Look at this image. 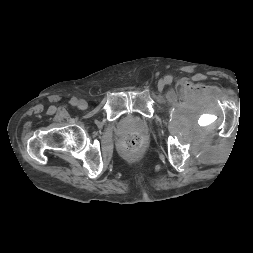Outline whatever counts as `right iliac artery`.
<instances>
[{
    "label": "right iliac artery",
    "mask_w": 253,
    "mask_h": 253,
    "mask_svg": "<svg viewBox=\"0 0 253 253\" xmlns=\"http://www.w3.org/2000/svg\"><path fill=\"white\" fill-rule=\"evenodd\" d=\"M70 104L73 105V106H76L78 104V100L73 97L71 100H70Z\"/></svg>",
    "instance_id": "right-iliac-artery-1"
}]
</instances>
